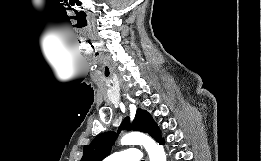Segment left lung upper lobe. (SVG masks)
Masks as SVG:
<instances>
[{"label":"left lung upper lobe","mask_w":261,"mask_h":161,"mask_svg":"<svg viewBox=\"0 0 261 161\" xmlns=\"http://www.w3.org/2000/svg\"><path fill=\"white\" fill-rule=\"evenodd\" d=\"M125 128L148 133L157 142L161 140L159 129L152 117L147 111L138 109L132 124H129V118H125L117 134L111 131L102 133L98 135L90 145H85L81 161H102V159L110 153L111 148L115 143L116 136Z\"/></svg>","instance_id":"left-lung-upper-lobe-1"}]
</instances>
